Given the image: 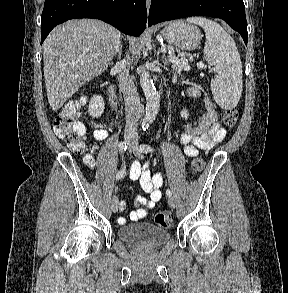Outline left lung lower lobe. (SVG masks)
I'll return each mask as SVG.
<instances>
[{"instance_id": "0a47b994", "label": "left lung lower lobe", "mask_w": 288, "mask_h": 293, "mask_svg": "<svg viewBox=\"0 0 288 293\" xmlns=\"http://www.w3.org/2000/svg\"><path fill=\"white\" fill-rule=\"evenodd\" d=\"M188 16L221 18L241 34L247 45L248 32L243 0H151L148 26Z\"/></svg>"}]
</instances>
